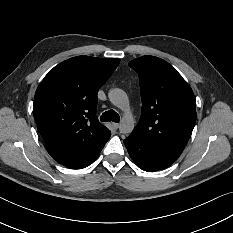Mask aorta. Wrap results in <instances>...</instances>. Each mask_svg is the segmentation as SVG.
Wrapping results in <instances>:
<instances>
[{
	"label": "aorta",
	"instance_id": "1",
	"mask_svg": "<svg viewBox=\"0 0 233 233\" xmlns=\"http://www.w3.org/2000/svg\"><path fill=\"white\" fill-rule=\"evenodd\" d=\"M109 99L113 105L123 112L120 131L122 133L131 132L134 128V117L127 94L121 89H114L109 92Z\"/></svg>",
	"mask_w": 233,
	"mask_h": 233
}]
</instances>
